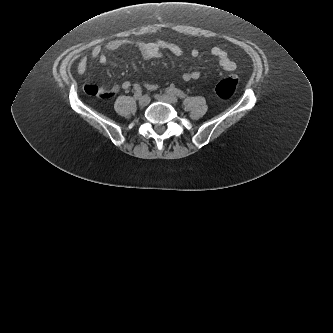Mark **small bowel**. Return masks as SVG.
Listing matches in <instances>:
<instances>
[{
    "mask_svg": "<svg viewBox=\"0 0 333 333\" xmlns=\"http://www.w3.org/2000/svg\"><path fill=\"white\" fill-rule=\"evenodd\" d=\"M130 42L125 39H114L109 42H107L105 45H95L91 50V56L93 59L98 60L102 64H108V58L106 55L107 51H115L118 50L126 45H128ZM139 50L145 59H154L158 58L161 55L162 50H168L170 53H172L175 56H182L184 54L182 48L174 43L166 42V41H157L154 43H139L138 44ZM212 56H214L219 63V66L221 69L227 72H231L235 70L236 64L229 59L227 53L219 48L214 47L211 50ZM199 55V52L197 50L191 51V57L197 58ZM88 67V61L85 56L81 57L78 64H77V73L79 75L84 74L87 71ZM133 67H135V64L133 63ZM201 77V72L198 70L191 71L184 73L182 75V81L189 82L192 80H197ZM146 87L150 90L157 89V85L154 84H146ZM121 88L124 90H128L131 88H134L136 91L140 89L141 87L138 84H133L129 81H125ZM83 90L85 93L89 95H99L103 98H110L114 96L116 93L119 92L120 86L114 85L111 88L105 87V86H96L91 84H85L83 86Z\"/></svg>",
    "mask_w": 333,
    "mask_h": 333,
    "instance_id": "c3829d8e",
    "label": "small bowel"
}]
</instances>
